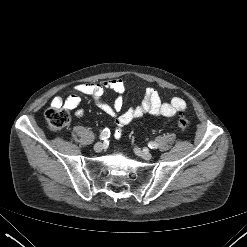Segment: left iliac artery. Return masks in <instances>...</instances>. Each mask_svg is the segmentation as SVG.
Segmentation results:
<instances>
[{"label":"left iliac artery","mask_w":247,"mask_h":247,"mask_svg":"<svg viewBox=\"0 0 247 247\" xmlns=\"http://www.w3.org/2000/svg\"><path fill=\"white\" fill-rule=\"evenodd\" d=\"M148 146H149L151 149H157V148H158V144L155 143V142H149V143H148Z\"/></svg>","instance_id":"44dca946"}]
</instances>
